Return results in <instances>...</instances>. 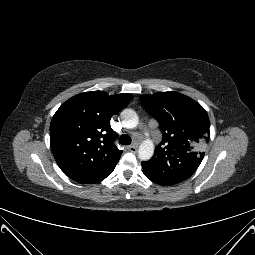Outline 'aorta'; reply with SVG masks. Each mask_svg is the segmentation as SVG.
I'll return each mask as SVG.
<instances>
[{
    "label": "aorta",
    "instance_id": "762f6f07",
    "mask_svg": "<svg viewBox=\"0 0 255 255\" xmlns=\"http://www.w3.org/2000/svg\"><path fill=\"white\" fill-rule=\"evenodd\" d=\"M121 119L129 128H134L138 124V116L137 114L131 110L126 109L121 113ZM154 154V144L151 140L143 141L138 149V157L142 161H147L151 159Z\"/></svg>",
    "mask_w": 255,
    "mask_h": 255
}]
</instances>
